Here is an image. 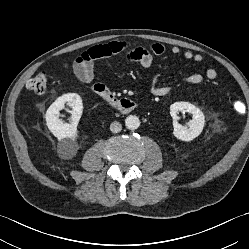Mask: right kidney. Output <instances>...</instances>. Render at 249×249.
Instances as JSON below:
<instances>
[{"label":"right kidney","mask_w":249,"mask_h":249,"mask_svg":"<svg viewBox=\"0 0 249 249\" xmlns=\"http://www.w3.org/2000/svg\"><path fill=\"white\" fill-rule=\"evenodd\" d=\"M65 104L72 107L70 111L72 114L71 124L64 123L59 119V112L64 108ZM82 112V99L76 93H68L58 97L46 112V125L51 133L57 137L58 140H61L59 151L65 158H72L77 153L76 138L78 135L76 126L81 118Z\"/></svg>","instance_id":"obj_1"}]
</instances>
